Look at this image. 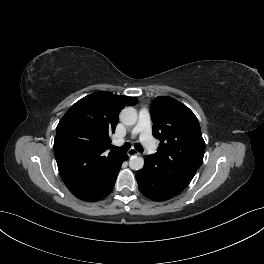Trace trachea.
I'll use <instances>...</instances> for the list:
<instances>
[{
	"label": "trachea",
	"mask_w": 264,
	"mask_h": 264,
	"mask_svg": "<svg viewBox=\"0 0 264 264\" xmlns=\"http://www.w3.org/2000/svg\"><path fill=\"white\" fill-rule=\"evenodd\" d=\"M130 147H131V144L129 142H127L123 146H121V147H114L113 149L115 151H124L125 152V151H128L130 149ZM135 149L138 152H140V153L143 152V147H142V145L140 143H136L135 144Z\"/></svg>",
	"instance_id": "3493384b"
}]
</instances>
